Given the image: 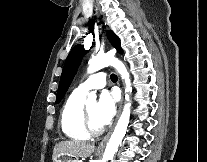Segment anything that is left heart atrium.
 Returning <instances> with one entry per match:
<instances>
[{"mask_svg": "<svg viewBox=\"0 0 207 162\" xmlns=\"http://www.w3.org/2000/svg\"><path fill=\"white\" fill-rule=\"evenodd\" d=\"M117 107V98L113 92L103 91L98 102L97 116L102 126H105L113 119Z\"/></svg>", "mask_w": 207, "mask_h": 162, "instance_id": "1", "label": "left heart atrium"}]
</instances>
